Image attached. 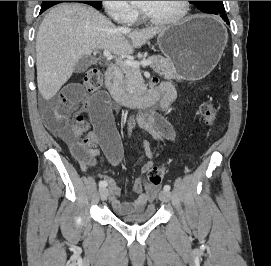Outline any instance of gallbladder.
I'll use <instances>...</instances> for the list:
<instances>
[{
	"label": "gallbladder",
	"instance_id": "obj_1",
	"mask_svg": "<svg viewBox=\"0 0 271 266\" xmlns=\"http://www.w3.org/2000/svg\"><path fill=\"white\" fill-rule=\"evenodd\" d=\"M95 60L92 57L85 56L79 60V62L76 64L74 68L75 73H83L85 72L93 63Z\"/></svg>",
	"mask_w": 271,
	"mask_h": 266
}]
</instances>
